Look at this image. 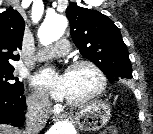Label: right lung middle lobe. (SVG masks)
Here are the masks:
<instances>
[{
	"label": "right lung middle lobe",
	"mask_w": 153,
	"mask_h": 134,
	"mask_svg": "<svg viewBox=\"0 0 153 134\" xmlns=\"http://www.w3.org/2000/svg\"><path fill=\"white\" fill-rule=\"evenodd\" d=\"M14 67H0V91L9 93H22L24 91V85L18 81V77H15Z\"/></svg>",
	"instance_id": "dd1d6c3e"
}]
</instances>
